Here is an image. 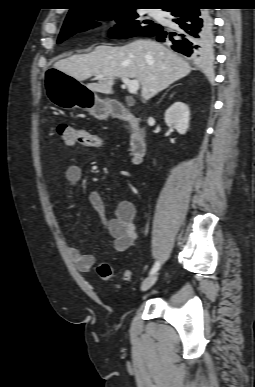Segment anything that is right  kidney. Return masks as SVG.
<instances>
[{"label": "right kidney", "instance_id": "1", "mask_svg": "<svg viewBox=\"0 0 255 387\" xmlns=\"http://www.w3.org/2000/svg\"><path fill=\"white\" fill-rule=\"evenodd\" d=\"M165 122L180 134H185L189 128L190 111L183 102H175L165 112Z\"/></svg>", "mask_w": 255, "mask_h": 387}]
</instances>
